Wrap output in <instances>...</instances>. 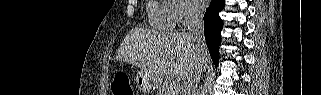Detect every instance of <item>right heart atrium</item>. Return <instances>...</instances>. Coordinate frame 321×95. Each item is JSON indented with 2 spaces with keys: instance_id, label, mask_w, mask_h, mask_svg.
I'll return each instance as SVG.
<instances>
[{
  "instance_id": "d8ad5b80",
  "label": "right heart atrium",
  "mask_w": 321,
  "mask_h": 95,
  "mask_svg": "<svg viewBox=\"0 0 321 95\" xmlns=\"http://www.w3.org/2000/svg\"><path fill=\"white\" fill-rule=\"evenodd\" d=\"M167 11L175 24L187 25L198 19L200 12L188 0H164Z\"/></svg>"
}]
</instances>
